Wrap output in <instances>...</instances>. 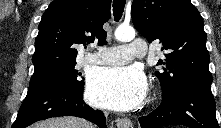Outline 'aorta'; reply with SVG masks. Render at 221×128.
Listing matches in <instances>:
<instances>
[{"mask_svg":"<svg viewBox=\"0 0 221 128\" xmlns=\"http://www.w3.org/2000/svg\"><path fill=\"white\" fill-rule=\"evenodd\" d=\"M118 41L129 42L135 38V30L130 26H119L114 32Z\"/></svg>","mask_w":221,"mask_h":128,"instance_id":"762f6f07","label":"aorta"}]
</instances>
